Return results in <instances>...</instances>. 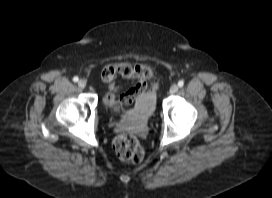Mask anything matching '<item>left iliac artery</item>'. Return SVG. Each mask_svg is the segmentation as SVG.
<instances>
[{
    "label": "left iliac artery",
    "instance_id": "44dca946",
    "mask_svg": "<svg viewBox=\"0 0 272 198\" xmlns=\"http://www.w3.org/2000/svg\"><path fill=\"white\" fill-rule=\"evenodd\" d=\"M184 85V81L183 80H180L179 82H178V86L179 87H182Z\"/></svg>",
    "mask_w": 272,
    "mask_h": 198
}]
</instances>
